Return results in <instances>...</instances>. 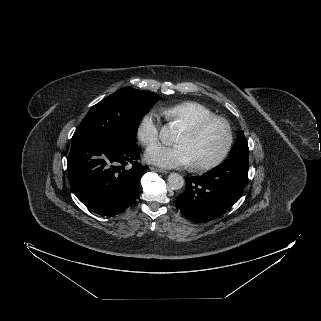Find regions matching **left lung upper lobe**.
I'll use <instances>...</instances> for the list:
<instances>
[{
    "instance_id": "5c2ea615",
    "label": "left lung upper lobe",
    "mask_w": 321,
    "mask_h": 321,
    "mask_svg": "<svg viewBox=\"0 0 321 321\" xmlns=\"http://www.w3.org/2000/svg\"><path fill=\"white\" fill-rule=\"evenodd\" d=\"M248 152H249V149H248V143H247L246 137L242 131L238 132L236 143L231 149L228 158H232V157L248 158Z\"/></svg>"
}]
</instances>
